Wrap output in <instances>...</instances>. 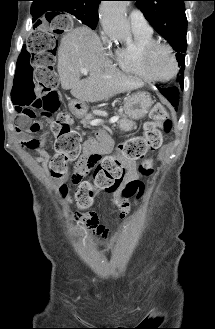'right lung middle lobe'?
<instances>
[{
  "instance_id": "dd1d6c3e",
  "label": "right lung middle lobe",
  "mask_w": 215,
  "mask_h": 329,
  "mask_svg": "<svg viewBox=\"0 0 215 329\" xmlns=\"http://www.w3.org/2000/svg\"><path fill=\"white\" fill-rule=\"evenodd\" d=\"M64 13H69L74 15L77 19H79L85 25H88L90 28L95 29L98 21L90 20L84 15V10L82 7H77L75 5H66L62 6ZM62 13V14H64ZM54 14V13H53ZM57 15V14H55Z\"/></svg>"
}]
</instances>
